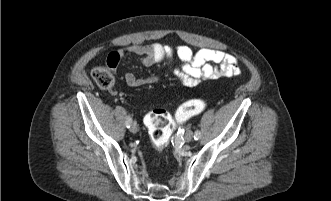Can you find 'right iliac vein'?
<instances>
[{
    "label": "right iliac vein",
    "mask_w": 331,
    "mask_h": 201,
    "mask_svg": "<svg viewBox=\"0 0 331 201\" xmlns=\"http://www.w3.org/2000/svg\"><path fill=\"white\" fill-rule=\"evenodd\" d=\"M130 131L132 133H136L138 131V126H137L136 122H131Z\"/></svg>",
    "instance_id": "63e3f726"
}]
</instances>
